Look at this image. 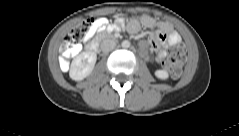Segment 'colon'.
<instances>
[{"mask_svg":"<svg viewBox=\"0 0 239 136\" xmlns=\"http://www.w3.org/2000/svg\"><path fill=\"white\" fill-rule=\"evenodd\" d=\"M96 24L95 19H86L74 27L60 46V64L66 67L70 58L77 52L81 41L87 38ZM186 49L183 45H174L169 51L165 67L172 77L177 78L182 74Z\"/></svg>","mask_w":239,"mask_h":136,"instance_id":"1","label":"colon"}]
</instances>
